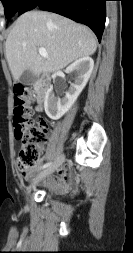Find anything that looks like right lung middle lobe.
I'll return each instance as SVG.
<instances>
[{"instance_id":"obj_1","label":"right lung middle lobe","mask_w":133,"mask_h":253,"mask_svg":"<svg viewBox=\"0 0 133 253\" xmlns=\"http://www.w3.org/2000/svg\"><path fill=\"white\" fill-rule=\"evenodd\" d=\"M5 9V16L10 20L16 15L25 0H0Z\"/></svg>"}]
</instances>
